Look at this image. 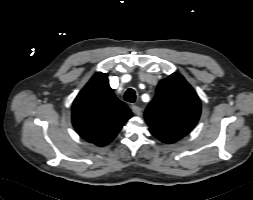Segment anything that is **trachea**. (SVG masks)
Wrapping results in <instances>:
<instances>
[{"label": "trachea", "mask_w": 253, "mask_h": 200, "mask_svg": "<svg viewBox=\"0 0 253 200\" xmlns=\"http://www.w3.org/2000/svg\"><path fill=\"white\" fill-rule=\"evenodd\" d=\"M124 99L127 102L134 103L136 100V93L133 89L129 88L124 95Z\"/></svg>", "instance_id": "3493384b"}]
</instances>
